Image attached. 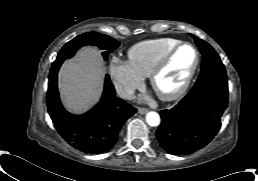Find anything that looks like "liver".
Here are the masks:
<instances>
[{
	"label": "liver",
	"instance_id": "obj_1",
	"mask_svg": "<svg viewBox=\"0 0 258 181\" xmlns=\"http://www.w3.org/2000/svg\"><path fill=\"white\" fill-rule=\"evenodd\" d=\"M105 67L100 53L82 48L76 58L64 62L59 71V91L65 107L83 113L100 98Z\"/></svg>",
	"mask_w": 258,
	"mask_h": 181
}]
</instances>
